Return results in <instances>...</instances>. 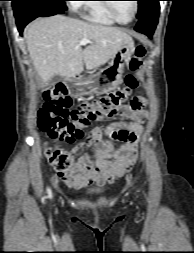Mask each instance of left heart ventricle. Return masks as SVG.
Wrapping results in <instances>:
<instances>
[{"mask_svg":"<svg viewBox=\"0 0 194 253\" xmlns=\"http://www.w3.org/2000/svg\"><path fill=\"white\" fill-rule=\"evenodd\" d=\"M112 4L116 14L121 20L127 21L132 17L134 12L133 1H116L113 2Z\"/></svg>","mask_w":194,"mask_h":253,"instance_id":"b2bd125f","label":"left heart ventricle"}]
</instances>
